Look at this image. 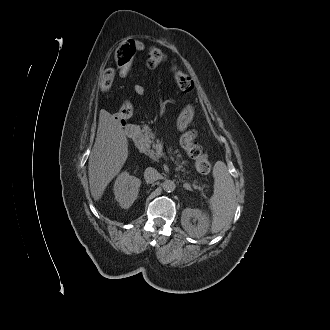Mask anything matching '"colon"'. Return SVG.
I'll use <instances>...</instances> for the list:
<instances>
[{
    "instance_id": "5ec220e1",
    "label": "colon",
    "mask_w": 330,
    "mask_h": 330,
    "mask_svg": "<svg viewBox=\"0 0 330 330\" xmlns=\"http://www.w3.org/2000/svg\"><path fill=\"white\" fill-rule=\"evenodd\" d=\"M136 52L135 45L132 41H127L116 49L114 58L118 66H125L133 61ZM166 60V53L158 47H150L146 53V64L149 68H156ZM172 75L177 87L185 93H189L194 88L192 79L182 72L179 68L173 67ZM114 72L111 69H106L101 76L100 88L104 92H108L112 86ZM132 114V105L129 101L124 103ZM117 118L122 120L118 113ZM181 144L187 155L194 161L195 167L199 173L207 174L211 170V161L209 156L204 152L203 147L197 141V132L189 130L185 132L181 138Z\"/></svg>"
}]
</instances>
